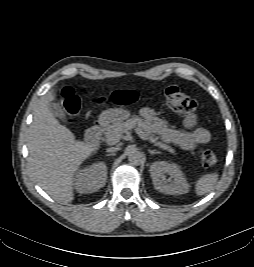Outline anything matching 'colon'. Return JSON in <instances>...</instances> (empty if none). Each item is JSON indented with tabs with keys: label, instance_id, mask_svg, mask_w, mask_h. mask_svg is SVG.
Masks as SVG:
<instances>
[{
	"label": "colon",
	"instance_id": "5ec220e1",
	"mask_svg": "<svg viewBox=\"0 0 254 267\" xmlns=\"http://www.w3.org/2000/svg\"><path fill=\"white\" fill-rule=\"evenodd\" d=\"M163 98L167 108L180 115H191L197 108L194 99L186 95L180 88L169 86L163 91ZM139 99L134 90H116L109 97L101 98L99 102H110L117 105H130ZM61 103L68 116L73 117L80 110V99L72 87H65L61 91ZM200 163L204 167H211L217 163V156L211 150L200 152Z\"/></svg>",
	"mask_w": 254,
	"mask_h": 267
}]
</instances>
